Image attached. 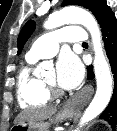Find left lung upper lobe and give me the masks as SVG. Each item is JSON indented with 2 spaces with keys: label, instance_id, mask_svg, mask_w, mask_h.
<instances>
[{
  "label": "left lung upper lobe",
  "instance_id": "left-lung-upper-lobe-1",
  "mask_svg": "<svg viewBox=\"0 0 117 131\" xmlns=\"http://www.w3.org/2000/svg\"><path fill=\"white\" fill-rule=\"evenodd\" d=\"M68 5H79L89 9L94 16L97 18L99 13L107 5L105 0H64L61 4V7ZM35 29V22L33 20L28 21L22 28L18 36V54L23 49L24 44L26 43L29 36L32 34Z\"/></svg>",
  "mask_w": 117,
  "mask_h": 131
}]
</instances>
